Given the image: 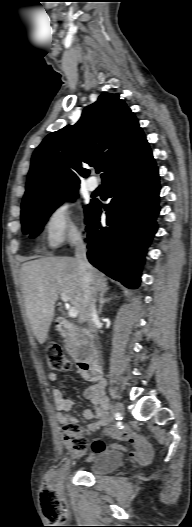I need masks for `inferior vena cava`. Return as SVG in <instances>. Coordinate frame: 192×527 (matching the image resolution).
Listing matches in <instances>:
<instances>
[{"instance_id":"inferior-vena-cava-1","label":"inferior vena cava","mask_w":192,"mask_h":527,"mask_svg":"<svg viewBox=\"0 0 192 527\" xmlns=\"http://www.w3.org/2000/svg\"><path fill=\"white\" fill-rule=\"evenodd\" d=\"M73 246L75 247V257L78 263L79 274L84 290L85 304L88 308V326L91 333L98 340L96 323L99 321L98 313L96 310V299L93 296V273L92 266L86 257V246L83 241V236L80 232L74 234L72 239Z\"/></svg>"}]
</instances>
